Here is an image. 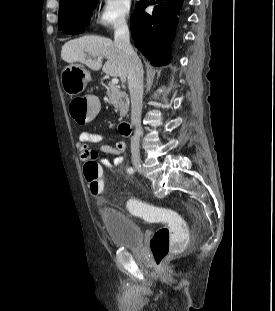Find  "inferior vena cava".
<instances>
[{
  "label": "inferior vena cava",
  "mask_w": 275,
  "mask_h": 311,
  "mask_svg": "<svg viewBox=\"0 0 275 311\" xmlns=\"http://www.w3.org/2000/svg\"><path fill=\"white\" fill-rule=\"evenodd\" d=\"M114 43L123 51L128 60V88L131 99V124L135 127L131 137L132 158H139L140 118L143 100V66L134 52L129 38V29L125 22L119 24L114 32Z\"/></svg>",
  "instance_id": "obj_1"
}]
</instances>
